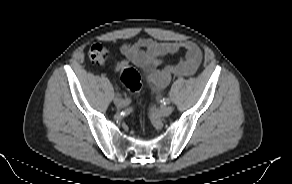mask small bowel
Returning <instances> with one entry per match:
<instances>
[{
	"label": "small bowel",
	"mask_w": 292,
	"mask_h": 184,
	"mask_svg": "<svg viewBox=\"0 0 292 184\" xmlns=\"http://www.w3.org/2000/svg\"><path fill=\"white\" fill-rule=\"evenodd\" d=\"M184 51V56L176 63L167 64L158 70L162 58L169 54ZM126 59L141 68L149 81L158 89L167 86L171 79L193 75L202 59L199 47L191 42H158L149 37H142L133 43H125L120 48ZM128 65L125 60L116 63V69L120 70Z\"/></svg>",
	"instance_id": "1"
}]
</instances>
